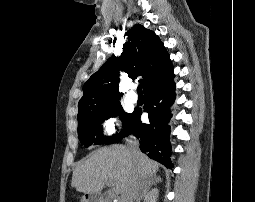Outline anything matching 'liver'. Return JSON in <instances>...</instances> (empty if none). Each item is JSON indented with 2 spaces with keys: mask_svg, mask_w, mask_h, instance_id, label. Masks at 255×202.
<instances>
[{
  "mask_svg": "<svg viewBox=\"0 0 255 202\" xmlns=\"http://www.w3.org/2000/svg\"><path fill=\"white\" fill-rule=\"evenodd\" d=\"M159 164L140 151L134 155L129 147H104L78 163L73 171L71 186L78 192L99 193L105 181L113 182L115 193L122 194L129 180L138 175L141 179L153 176Z\"/></svg>",
  "mask_w": 255,
  "mask_h": 202,
  "instance_id": "1",
  "label": "liver"
}]
</instances>
